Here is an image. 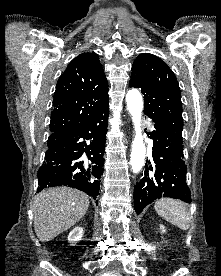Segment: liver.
<instances>
[{
    "instance_id": "liver-1",
    "label": "liver",
    "mask_w": 221,
    "mask_h": 276,
    "mask_svg": "<svg viewBox=\"0 0 221 276\" xmlns=\"http://www.w3.org/2000/svg\"><path fill=\"white\" fill-rule=\"evenodd\" d=\"M89 197L73 188H48L36 195L33 203L34 230L42 242L54 239L82 219Z\"/></svg>"
}]
</instances>
